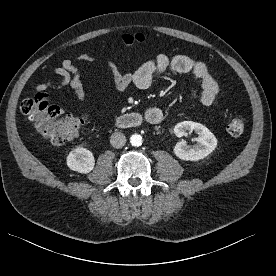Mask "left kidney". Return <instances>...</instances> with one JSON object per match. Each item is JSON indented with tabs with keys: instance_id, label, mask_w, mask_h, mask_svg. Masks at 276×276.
Wrapping results in <instances>:
<instances>
[{
	"instance_id": "obj_1",
	"label": "left kidney",
	"mask_w": 276,
	"mask_h": 276,
	"mask_svg": "<svg viewBox=\"0 0 276 276\" xmlns=\"http://www.w3.org/2000/svg\"><path fill=\"white\" fill-rule=\"evenodd\" d=\"M195 132L197 144L191 148L186 144V141L181 140L174 147V154L184 161H198L204 159L211 154L216 146L217 139L214 134L204 125L192 121H184L178 123L174 128V133L177 137H182L187 132Z\"/></svg>"
}]
</instances>
